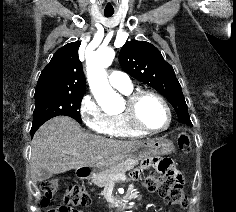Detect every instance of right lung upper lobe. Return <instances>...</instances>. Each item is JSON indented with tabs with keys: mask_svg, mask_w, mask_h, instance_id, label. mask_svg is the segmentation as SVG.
<instances>
[{
	"mask_svg": "<svg viewBox=\"0 0 236 212\" xmlns=\"http://www.w3.org/2000/svg\"><path fill=\"white\" fill-rule=\"evenodd\" d=\"M80 42L58 49L43 69L37 82L35 97L47 94H80L85 92V76L78 58Z\"/></svg>",
	"mask_w": 236,
	"mask_h": 212,
	"instance_id": "1",
	"label": "right lung upper lobe"
}]
</instances>
